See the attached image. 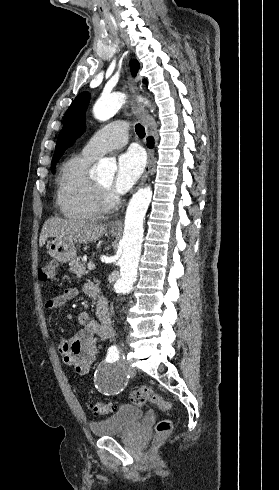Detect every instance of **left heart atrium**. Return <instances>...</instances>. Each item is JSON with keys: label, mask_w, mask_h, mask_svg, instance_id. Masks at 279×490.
Listing matches in <instances>:
<instances>
[{"label": "left heart atrium", "mask_w": 279, "mask_h": 490, "mask_svg": "<svg viewBox=\"0 0 279 490\" xmlns=\"http://www.w3.org/2000/svg\"><path fill=\"white\" fill-rule=\"evenodd\" d=\"M144 170L142 155L130 150L119 156L116 175L112 184V193L121 196L127 193L140 179Z\"/></svg>", "instance_id": "left-heart-atrium-1"}]
</instances>
